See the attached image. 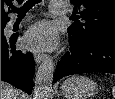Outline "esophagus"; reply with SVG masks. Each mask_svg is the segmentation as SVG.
I'll list each match as a JSON object with an SVG mask.
<instances>
[{"label": "esophagus", "mask_w": 115, "mask_h": 99, "mask_svg": "<svg viewBox=\"0 0 115 99\" xmlns=\"http://www.w3.org/2000/svg\"><path fill=\"white\" fill-rule=\"evenodd\" d=\"M45 58H46V55L43 53L34 54V59L37 64H40Z\"/></svg>", "instance_id": "obj_1"}]
</instances>
